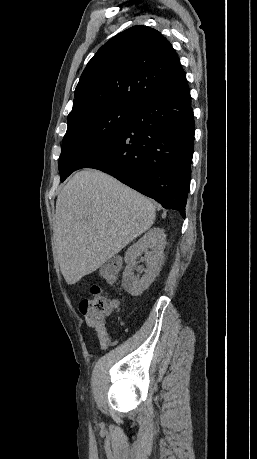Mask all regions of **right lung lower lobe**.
<instances>
[{"mask_svg":"<svg viewBox=\"0 0 257 459\" xmlns=\"http://www.w3.org/2000/svg\"><path fill=\"white\" fill-rule=\"evenodd\" d=\"M135 108L126 129L78 169L108 173L185 218L194 147L186 76Z\"/></svg>","mask_w":257,"mask_h":459,"instance_id":"obj_1","label":"right lung lower lobe"}]
</instances>
